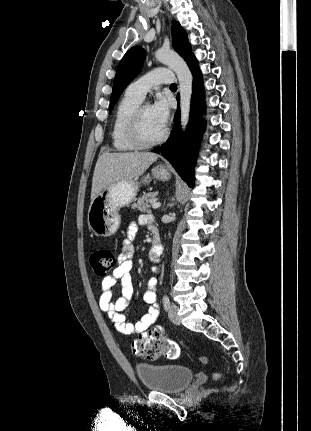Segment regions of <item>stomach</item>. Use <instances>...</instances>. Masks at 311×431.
<instances>
[{"label":"stomach","instance_id":"1","mask_svg":"<svg viewBox=\"0 0 311 431\" xmlns=\"http://www.w3.org/2000/svg\"><path fill=\"white\" fill-rule=\"evenodd\" d=\"M152 178L160 182H168L171 180V172L166 166H155L151 174H146L141 180H131V182L121 180L99 192L89 206L87 214L89 229L95 235H102V237L114 235L121 223L120 208L130 206L136 200L141 184L148 186Z\"/></svg>","mask_w":311,"mask_h":431}]
</instances>
